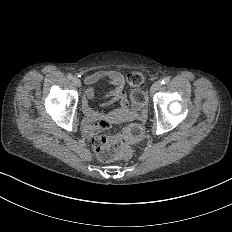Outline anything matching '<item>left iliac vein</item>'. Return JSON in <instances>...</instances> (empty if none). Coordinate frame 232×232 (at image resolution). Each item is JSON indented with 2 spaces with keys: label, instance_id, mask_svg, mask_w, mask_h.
I'll return each mask as SVG.
<instances>
[{
  "label": "left iliac vein",
  "instance_id": "1",
  "mask_svg": "<svg viewBox=\"0 0 232 232\" xmlns=\"http://www.w3.org/2000/svg\"><path fill=\"white\" fill-rule=\"evenodd\" d=\"M161 88L160 82H155L152 84V88L150 89V94L157 93V90Z\"/></svg>",
  "mask_w": 232,
  "mask_h": 232
}]
</instances>
